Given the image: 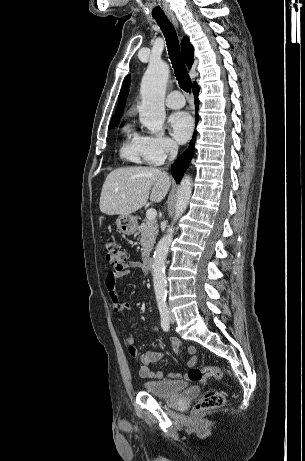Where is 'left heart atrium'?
Masks as SVG:
<instances>
[{
  "label": "left heart atrium",
  "instance_id": "left-heart-atrium-1",
  "mask_svg": "<svg viewBox=\"0 0 305 461\" xmlns=\"http://www.w3.org/2000/svg\"><path fill=\"white\" fill-rule=\"evenodd\" d=\"M169 125L173 137L179 142H186L193 130L191 116L183 111L175 112L169 117Z\"/></svg>",
  "mask_w": 305,
  "mask_h": 461
}]
</instances>
